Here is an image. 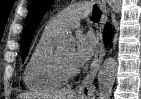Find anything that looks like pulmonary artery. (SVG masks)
I'll return each mask as SVG.
<instances>
[{
    "label": "pulmonary artery",
    "mask_w": 141,
    "mask_h": 99,
    "mask_svg": "<svg viewBox=\"0 0 141 99\" xmlns=\"http://www.w3.org/2000/svg\"><path fill=\"white\" fill-rule=\"evenodd\" d=\"M88 14L89 7L86 4L70 6L50 19L44 30L59 36L68 29L77 27L80 20Z\"/></svg>",
    "instance_id": "1"
}]
</instances>
